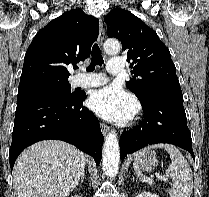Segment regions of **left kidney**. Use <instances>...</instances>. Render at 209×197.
<instances>
[{
    "instance_id": "5707ae66",
    "label": "left kidney",
    "mask_w": 209,
    "mask_h": 197,
    "mask_svg": "<svg viewBox=\"0 0 209 197\" xmlns=\"http://www.w3.org/2000/svg\"><path fill=\"white\" fill-rule=\"evenodd\" d=\"M136 197H159L157 194L143 191L140 194H138Z\"/></svg>"
}]
</instances>
